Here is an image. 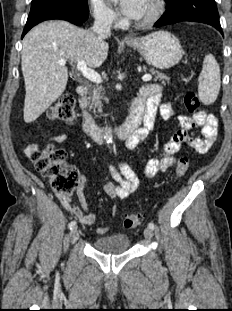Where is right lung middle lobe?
Instances as JSON below:
<instances>
[{"label": "right lung middle lobe", "mask_w": 232, "mask_h": 311, "mask_svg": "<svg viewBox=\"0 0 232 311\" xmlns=\"http://www.w3.org/2000/svg\"><path fill=\"white\" fill-rule=\"evenodd\" d=\"M44 5H61L78 9L79 11L88 13L87 0H32L31 8Z\"/></svg>", "instance_id": "1"}]
</instances>
